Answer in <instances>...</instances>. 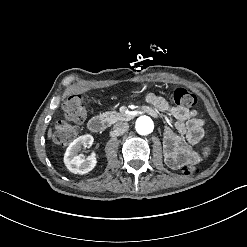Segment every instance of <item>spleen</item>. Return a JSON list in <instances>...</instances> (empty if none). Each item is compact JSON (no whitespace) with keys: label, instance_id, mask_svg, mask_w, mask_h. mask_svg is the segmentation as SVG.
<instances>
[{"label":"spleen","instance_id":"spleen-1","mask_svg":"<svg viewBox=\"0 0 247 247\" xmlns=\"http://www.w3.org/2000/svg\"><path fill=\"white\" fill-rule=\"evenodd\" d=\"M208 152H209L208 149L202 150V154H203L202 156L205 157Z\"/></svg>","mask_w":247,"mask_h":247}]
</instances>
